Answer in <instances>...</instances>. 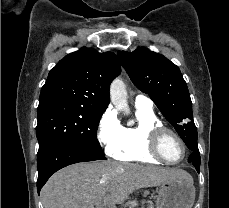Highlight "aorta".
I'll return each mask as SVG.
<instances>
[{
	"mask_svg": "<svg viewBox=\"0 0 229 208\" xmlns=\"http://www.w3.org/2000/svg\"><path fill=\"white\" fill-rule=\"evenodd\" d=\"M110 99L116 109L123 111L125 114L130 113L126 85L121 78H116L112 82L110 86Z\"/></svg>",
	"mask_w": 229,
	"mask_h": 208,
	"instance_id": "obj_1",
	"label": "aorta"
}]
</instances>
